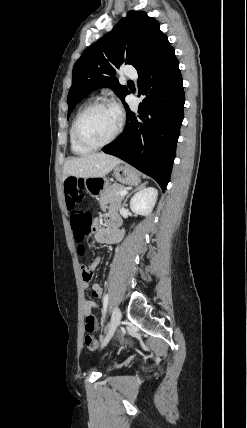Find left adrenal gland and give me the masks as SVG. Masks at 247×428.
Masks as SVG:
<instances>
[{
	"label": "left adrenal gland",
	"instance_id": "left-adrenal-gland-1",
	"mask_svg": "<svg viewBox=\"0 0 247 428\" xmlns=\"http://www.w3.org/2000/svg\"><path fill=\"white\" fill-rule=\"evenodd\" d=\"M147 184V182H144V183H142V184H140L139 186H137L131 193H129L126 197H125V199H124V201H123V205H126V201H127V199L131 196V194L133 193V192H135V191H137L138 189H141V188H143L145 185Z\"/></svg>",
	"mask_w": 247,
	"mask_h": 428
}]
</instances>
